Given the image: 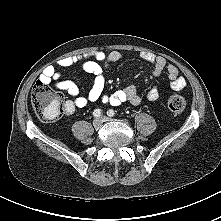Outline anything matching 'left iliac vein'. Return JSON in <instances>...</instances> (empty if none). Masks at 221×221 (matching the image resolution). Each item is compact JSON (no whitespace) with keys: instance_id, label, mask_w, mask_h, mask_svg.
Masks as SVG:
<instances>
[{"instance_id":"left-iliac-vein-1","label":"left iliac vein","mask_w":221,"mask_h":221,"mask_svg":"<svg viewBox=\"0 0 221 221\" xmlns=\"http://www.w3.org/2000/svg\"><path fill=\"white\" fill-rule=\"evenodd\" d=\"M101 119L103 120V122H107L110 121L111 119L106 117V116H102Z\"/></svg>"}]
</instances>
